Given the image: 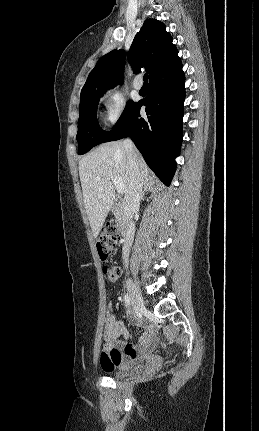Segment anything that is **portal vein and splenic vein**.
I'll return each instance as SVG.
<instances>
[{
    "label": "portal vein and splenic vein",
    "instance_id": "18ae733b",
    "mask_svg": "<svg viewBox=\"0 0 259 431\" xmlns=\"http://www.w3.org/2000/svg\"><path fill=\"white\" fill-rule=\"evenodd\" d=\"M112 182L115 185L118 193L123 194L125 192L124 184L117 177L113 178Z\"/></svg>",
    "mask_w": 259,
    "mask_h": 431
}]
</instances>
